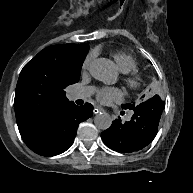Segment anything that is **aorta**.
<instances>
[{"label":"aorta","mask_w":193,"mask_h":193,"mask_svg":"<svg viewBox=\"0 0 193 193\" xmlns=\"http://www.w3.org/2000/svg\"><path fill=\"white\" fill-rule=\"evenodd\" d=\"M89 71L91 75L107 84H112L116 81V74L113 71V67L107 61H98L90 66ZM95 124L101 130L108 129L112 124L111 116L107 113L97 115L95 117Z\"/></svg>","instance_id":"1"}]
</instances>
